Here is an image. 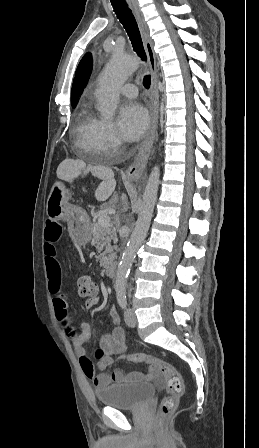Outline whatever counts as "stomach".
<instances>
[{
	"label": "stomach",
	"mask_w": 259,
	"mask_h": 448,
	"mask_svg": "<svg viewBox=\"0 0 259 448\" xmlns=\"http://www.w3.org/2000/svg\"><path fill=\"white\" fill-rule=\"evenodd\" d=\"M69 196L70 192L63 182H55L48 196L46 214L50 220L67 221L72 240L79 246H84L92 238L89 214L85 212L84 206H63Z\"/></svg>",
	"instance_id": "0dacf381"
}]
</instances>
